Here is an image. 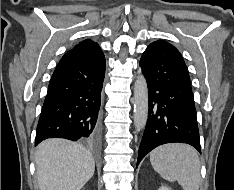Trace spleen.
<instances>
[{"label": "spleen", "instance_id": "spleen-1", "mask_svg": "<svg viewBox=\"0 0 234 190\" xmlns=\"http://www.w3.org/2000/svg\"><path fill=\"white\" fill-rule=\"evenodd\" d=\"M150 161L163 179L177 181L183 190H199L201 166L192 146L181 143L159 146L150 153Z\"/></svg>", "mask_w": 234, "mask_h": 190}]
</instances>
